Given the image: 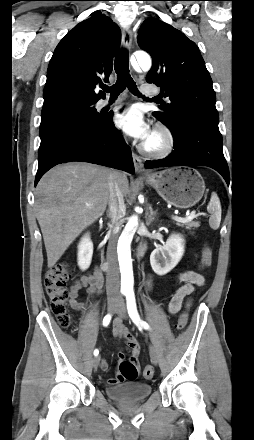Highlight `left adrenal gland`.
I'll use <instances>...</instances> for the list:
<instances>
[{"instance_id":"1","label":"left adrenal gland","mask_w":254,"mask_h":440,"mask_svg":"<svg viewBox=\"0 0 254 440\" xmlns=\"http://www.w3.org/2000/svg\"><path fill=\"white\" fill-rule=\"evenodd\" d=\"M156 220V211L154 213H147L146 224L149 226Z\"/></svg>"}]
</instances>
